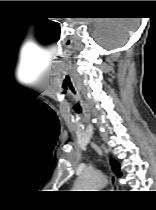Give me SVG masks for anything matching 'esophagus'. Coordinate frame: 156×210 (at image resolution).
Listing matches in <instances>:
<instances>
[{"mask_svg": "<svg viewBox=\"0 0 156 210\" xmlns=\"http://www.w3.org/2000/svg\"><path fill=\"white\" fill-rule=\"evenodd\" d=\"M109 181H110V190L114 191L117 187V184H116V177L114 176L113 173H110Z\"/></svg>", "mask_w": 156, "mask_h": 210, "instance_id": "obj_1", "label": "esophagus"}]
</instances>
